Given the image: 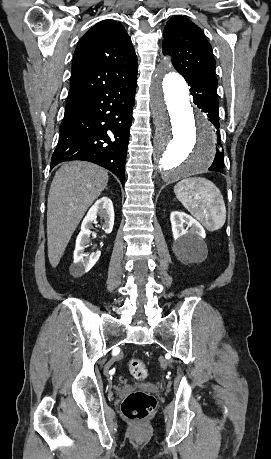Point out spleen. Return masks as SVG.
I'll list each match as a JSON object with an SVG mask.
<instances>
[{"instance_id": "obj_1", "label": "spleen", "mask_w": 271, "mask_h": 459, "mask_svg": "<svg viewBox=\"0 0 271 459\" xmlns=\"http://www.w3.org/2000/svg\"><path fill=\"white\" fill-rule=\"evenodd\" d=\"M174 194L184 208L209 231L224 226L226 208L223 196L210 180L186 178L174 186Z\"/></svg>"}]
</instances>
